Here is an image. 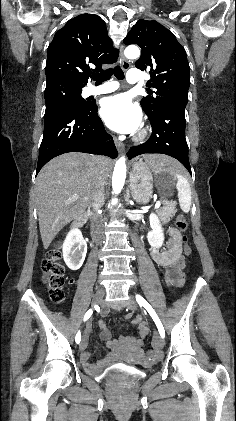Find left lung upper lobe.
Returning <instances> with one entry per match:
<instances>
[{
    "label": "left lung upper lobe",
    "mask_w": 236,
    "mask_h": 421,
    "mask_svg": "<svg viewBox=\"0 0 236 421\" xmlns=\"http://www.w3.org/2000/svg\"><path fill=\"white\" fill-rule=\"evenodd\" d=\"M124 43L140 46L142 54L135 66L143 71L150 70L148 85L157 89L140 102L148 117L168 103L187 104L190 67L183 46L169 30L157 21L139 20Z\"/></svg>",
    "instance_id": "left-lung-upper-lobe-1"
}]
</instances>
